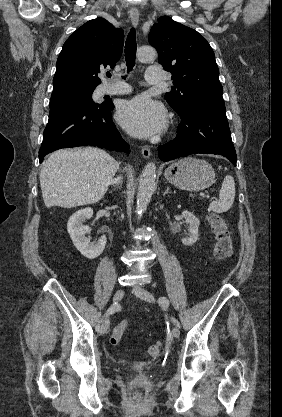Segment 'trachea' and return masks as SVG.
I'll return each instance as SVG.
<instances>
[{
    "label": "trachea",
    "instance_id": "3493384b",
    "mask_svg": "<svg viewBox=\"0 0 282 417\" xmlns=\"http://www.w3.org/2000/svg\"><path fill=\"white\" fill-rule=\"evenodd\" d=\"M136 50H137V43H136V33L135 28H132L127 36L126 43H125V60L128 71L132 70L135 65L136 59ZM107 76H111L108 74ZM125 78V77H122Z\"/></svg>",
    "mask_w": 282,
    "mask_h": 417
}]
</instances>
